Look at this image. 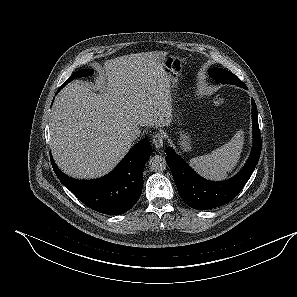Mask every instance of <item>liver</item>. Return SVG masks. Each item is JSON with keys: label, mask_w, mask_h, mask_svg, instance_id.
Segmentation results:
<instances>
[{"label": "liver", "mask_w": 297, "mask_h": 297, "mask_svg": "<svg viewBox=\"0 0 297 297\" xmlns=\"http://www.w3.org/2000/svg\"><path fill=\"white\" fill-rule=\"evenodd\" d=\"M167 52L120 56L100 68L99 94L79 81L64 87L50 119V147L58 167L76 179L111 171L131 147L129 126H169L171 87Z\"/></svg>", "instance_id": "liver-1"}]
</instances>
